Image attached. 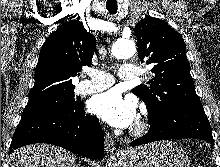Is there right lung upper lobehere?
Here are the masks:
<instances>
[{"mask_svg":"<svg viewBox=\"0 0 220 167\" xmlns=\"http://www.w3.org/2000/svg\"><path fill=\"white\" fill-rule=\"evenodd\" d=\"M95 37L78 20L65 22L43 44L29 99L74 89L72 77L82 66H91Z\"/></svg>","mask_w":220,"mask_h":167,"instance_id":"cb5924a9","label":"right lung upper lobe"}]
</instances>
